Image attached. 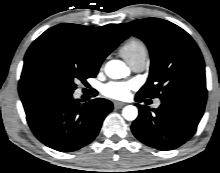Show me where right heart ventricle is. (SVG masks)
Wrapping results in <instances>:
<instances>
[{
	"instance_id": "obj_1",
	"label": "right heart ventricle",
	"mask_w": 220,
	"mask_h": 173,
	"mask_svg": "<svg viewBox=\"0 0 220 173\" xmlns=\"http://www.w3.org/2000/svg\"><path fill=\"white\" fill-rule=\"evenodd\" d=\"M121 55L129 62L138 55H146L147 49L145 44L139 39H131L121 47Z\"/></svg>"
}]
</instances>
